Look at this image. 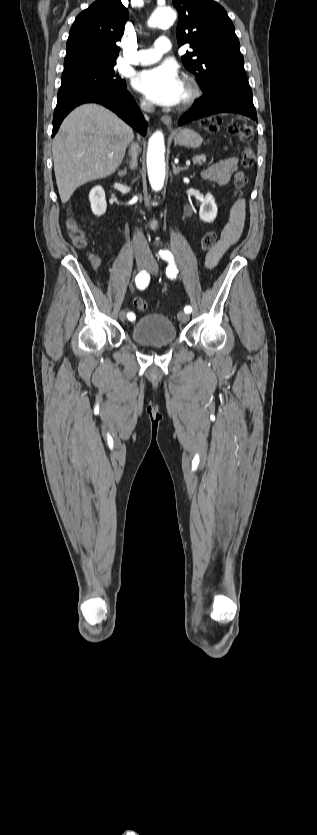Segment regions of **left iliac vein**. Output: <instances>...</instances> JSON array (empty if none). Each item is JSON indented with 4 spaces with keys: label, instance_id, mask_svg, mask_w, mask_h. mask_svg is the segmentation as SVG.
Returning a JSON list of instances; mask_svg holds the SVG:
<instances>
[{
    "label": "left iliac vein",
    "instance_id": "obj_1",
    "mask_svg": "<svg viewBox=\"0 0 317 835\" xmlns=\"http://www.w3.org/2000/svg\"><path fill=\"white\" fill-rule=\"evenodd\" d=\"M147 269L150 272H152L153 274L157 273L158 267H157V264H156L154 259H151L149 261V265H148ZM177 317H178V320L181 321V322H187L189 320V314L186 313V312H183V311L179 312Z\"/></svg>",
    "mask_w": 317,
    "mask_h": 835
}]
</instances>
